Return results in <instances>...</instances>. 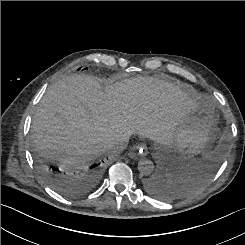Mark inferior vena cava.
<instances>
[{
	"mask_svg": "<svg viewBox=\"0 0 245 245\" xmlns=\"http://www.w3.org/2000/svg\"><path fill=\"white\" fill-rule=\"evenodd\" d=\"M129 143V137L124 136L110 144H108L106 147L111 150L113 153H121L128 145Z\"/></svg>",
	"mask_w": 245,
	"mask_h": 245,
	"instance_id": "obj_1",
	"label": "inferior vena cava"
}]
</instances>
